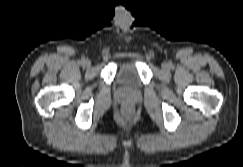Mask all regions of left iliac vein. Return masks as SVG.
<instances>
[{"mask_svg":"<svg viewBox=\"0 0 243 167\" xmlns=\"http://www.w3.org/2000/svg\"><path fill=\"white\" fill-rule=\"evenodd\" d=\"M162 69H163V71H168L169 70V64L168 63L162 64Z\"/></svg>","mask_w":243,"mask_h":167,"instance_id":"left-iliac-vein-1","label":"left iliac vein"}]
</instances>
